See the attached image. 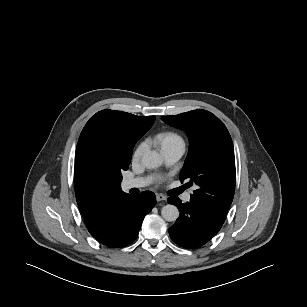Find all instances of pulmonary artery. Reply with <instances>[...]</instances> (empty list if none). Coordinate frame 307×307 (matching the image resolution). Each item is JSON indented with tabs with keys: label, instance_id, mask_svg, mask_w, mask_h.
Returning a JSON list of instances; mask_svg holds the SVG:
<instances>
[{
	"label": "pulmonary artery",
	"instance_id": "obj_1",
	"mask_svg": "<svg viewBox=\"0 0 307 307\" xmlns=\"http://www.w3.org/2000/svg\"><path fill=\"white\" fill-rule=\"evenodd\" d=\"M184 152V144H176L162 149V154L167 165H173L174 163H176L183 156ZM151 181L152 180L149 177L129 178L123 181V188L125 190H129L132 188H143L148 186ZM190 198V193H186L183 196V200L185 202L190 201Z\"/></svg>",
	"mask_w": 307,
	"mask_h": 307
}]
</instances>
